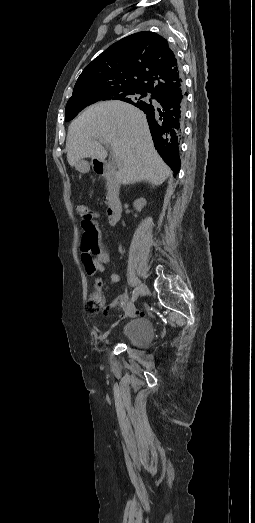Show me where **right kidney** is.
<instances>
[{
    "mask_svg": "<svg viewBox=\"0 0 255 523\" xmlns=\"http://www.w3.org/2000/svg\"><path fill=\"white\" fill-rule=\"evenodd\" d=\"M146 206V200L145 198H139V200H135L134 202V208L135 210H138V212H141L142 208Z\"/></svg>",
    "mask_w": 255,
    "mask_h": 523,
    "instance_id": "right-kidney-1",
    "label": "right kidney"
}]
</instances>
